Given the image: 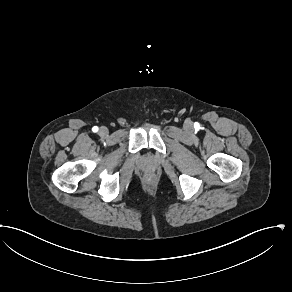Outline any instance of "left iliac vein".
Segmentation results:
<instances>
[{
	"label": "left iliac vein",
	"instance_id": "1",
	"mask_svg": "<svg viewBox=\"0 0 292 292\" xmlns=\"http://www.w3.org/2000/svg\"><path fill=\"white\" fill-rule=\"evenodd\" d=\"M191 127H192L191 122L188 121V122L185 123V128H186V129L189 130V129H191Z\"/></svg>",
	"mask_w": 292,
	"mask_h": 292
}]
</instances>
